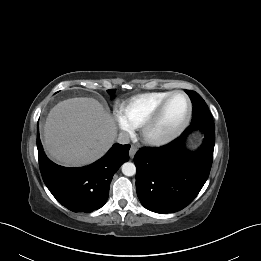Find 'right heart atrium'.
Segmentation results:
<instances>
[{"label": "right heart atrium", "mask_w": 261, "mask_h": 261, "mask_svg": "<svg viewBox=\"0 0 261 261\" xmlns=\"http://www.w3.org/2000/svg\"><path fill=\"white\" fill-rule=\"evenodd\" d=\"M116 121L122 132H124V133L131 132L130 126L127 124V122L125 121V119L123 118V116L121 114H116Z\"/></svg>", "instance_id": "1"}]
</instances>
